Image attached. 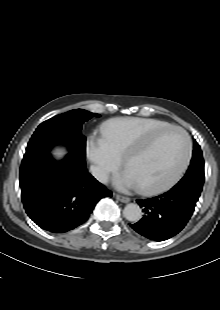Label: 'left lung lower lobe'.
Instances as JSON below:
<instances>
[{"mask_svg":"<svg viewBox=\"0 0 220 310\" xmlns=\"http://www.w3.org/2000/svg\"><path fill=\"white\" fill-rule=\"evenodd\" d=\"M202 189L176 184L169 191L149 199H138L144 216L130 226L151 240L163 241L178 234L191 218Z\"/></svg>","mask_w":220,"mask_h":310,"instance_id":"obj_1","label":"left lung lower lobe"}]
</instances>
